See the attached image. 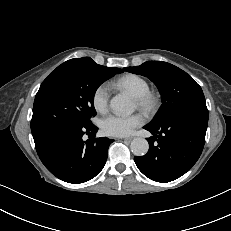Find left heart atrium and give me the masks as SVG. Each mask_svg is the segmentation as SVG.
<instances>
[{"mask_svg":"<svg viewBox=\"0 0 231 231\" xmlns=\"http://www.w3.org/2000/svg\"><path fill=\"white\" fill-rule=\"evenodd\" d=\"M142 123L143 117L140 114L129 116L111 114L102 120L101 128L109 136H128Z\"/></svg>","mask_w":231,"mask_h":231,"instance_id":"obj_1","label":"left heart atrium"}]
</instances>
